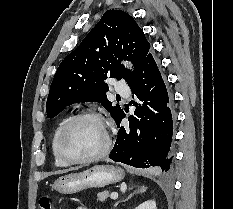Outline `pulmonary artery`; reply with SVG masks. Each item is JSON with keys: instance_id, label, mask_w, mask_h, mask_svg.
I'll list each match as a JSON object with an SVG mask.
<instances>
[{"instance_id": "e3ab8cb5", "label": "pulmonary artery", "mask_w": 233, "mask_h": 209, "mask_svg": "<svg viewBox=\"0 0 233 209\" xmlns=\"http://www.w3.org/2000/svg\"><path fill=\"white\" fill-rule=\"evenodd\" d=\"M115 91L118 94H121V95H128L131 92V90L128 87V85L125 82H123V81H118L116 83V85H115Z\"/></svg>"}]
</instances>
